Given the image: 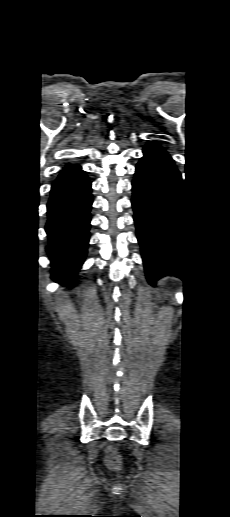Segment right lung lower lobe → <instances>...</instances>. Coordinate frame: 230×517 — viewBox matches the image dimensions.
Returning <instances> with one entry per match:
<instances>
[{
	"label": "right lung lower lobe",
	"instance_id": "1",
	"mask_svg": "<svg viewBox=\"0 0 230 517\" xmlns=\"http://www.w3.org/2000/svg\"><path fill=\"white\" fill-rule=\"evenodd\" d=\"M92 202L91 182L78 165L64 169L52 185L45 230L55 282H75L87 253Z\"/></svg>",
	"mask_w": 230,
	"mask_h": 517
}]
</instances>
